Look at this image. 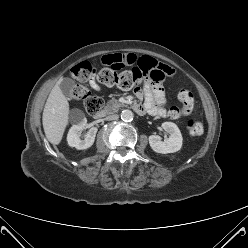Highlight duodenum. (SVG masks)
Masks as SVG:
<instances>
[{
    "label": "duodenum",
    "instance_id": "duodenum-1",
    "mask_svg": "<svg viewBox=\"0 0 248 248\" xmlns=\"http://www.w3.org/2000/svg\"><path fill=\"white\" fill-rule=\"evenodd\" d=\"M132 108L138 114H143L144 113L143 108L139 104L132 105ZM104 116H105V111L104 110H100L99 112H97L96 114H94V118L95 119H101Z\"/></svg>",
    "mask_w": 248,
    "mask_h": 248
}]
</instances>
